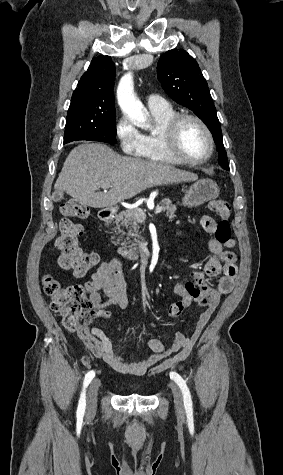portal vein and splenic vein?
I'll use <instances>...</instances> for the list:
<instances>
[{"instance_id": "portal-vein-and-splenic-vein-1", "label": "portal vein and splenic vein", "mask_w": 283, "mask_h": 475, "mask_svg": "<svg viewBox=\"0 0 283 475\" xmlns=\"http://www.w3.org/2000/svg\"><path fill=\"white\" fill-rule=\"evenodd\" d=\"M102 188H104V190H107V188H112V186H110V184H101ZM163 208H160V206H158V208H155V214H159V212H162ZM143 218H145V214L144 212H141Z\"/></svg>"}]
</instances>
